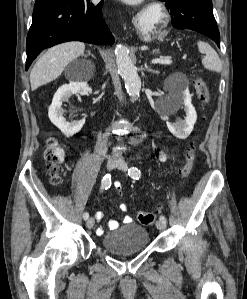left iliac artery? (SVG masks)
Here are the masks:
<instances>
[{"label":"left iliac artery","instance_id":"1","mask_svg":"<svg viewBox=\"0 0 247 299\" xmlns=\"http://www.w3.org/2000/svg\"><path fill=\"white\" fill-rule=\"evenodd\" d=\"M128 174L133 179H139L141 172L137 167H131L128 169ZM160 220L166 223V217L164 215L160 216Z\"/></svg>","mask_w":247,"mask_h":299}]
</instances>
